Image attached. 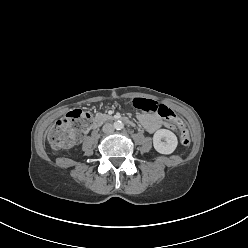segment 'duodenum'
<instances>
[{
    "label": "duodenum",
    "mask_w": 248,
    "mask_h": 248,
    "mask_svg": "<svg viewBox=\"0 0 248 248\" xmlns=\"http://www.w3.org/2000/svg\"><path fill=\"white\" fill-rule=\"evenodd\" d=\"M107 120H121L124 123L132 126L133 125V121L129 118L126 117H111V116H100L98 118H95L94 120L91 121L90 126L91 128L95 129L97 127H99L103 122L107 121Z\"/></svg>",
    "instance_id": "obj_1"
}]
</instances>
